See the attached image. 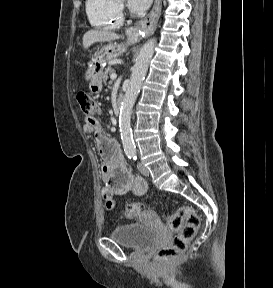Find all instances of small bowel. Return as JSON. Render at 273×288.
<instances>
[{
    "mask_svg": "<svg viewBox=\"0 0 273 288\" xmlns=\"http://www.w3.org/2000/svg\"><path fill=\"white\" fill-rule=\"evenodd\" d=\"M83 130L94 133L96 145L102 157V178L106 185L102 189V198L108 209L114 206L116 196L132 193L141 196L147 191L146 181L140 176L131 174L124 162L117 143L102 129L100 121L93 116L84 120Z\"/></svg>",
    "mask_w": 273,
    "mask_h": 288,
    "instance_id": "1",
    "label": "small bowel"
}]
</instances>
